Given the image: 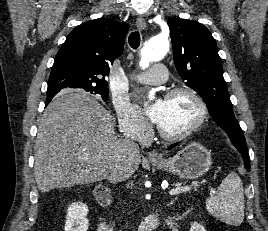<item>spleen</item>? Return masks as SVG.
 Here are the masks:
<instances>
[{"mask_svg":"<svg viewBox=\"0 0 268 231\" xmlns=\"http://www.w3.org/2000/svg\"><path fill=\"white\" fill-rule=\"evenodd\" d=\"M209 213L219 220L239 226L244 220V191L240 177L231 172L221 182L216 195L206 200Z\"/></svg>","mask_w":268,"mask_h":231,"instance_id":"spleen-1","label":"spleen"}]
</instances>
